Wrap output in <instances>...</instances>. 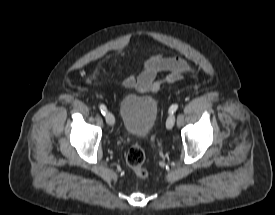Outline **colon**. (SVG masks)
Returning <instances> with one entry per match:
<instances>
[{"mask_svg": "<svg viewBox=\"0 0 275 215\" xmlns=\"http://www.w3.org/2000/svg\"><path fill=\"white\" fill-rule=\"evenodd\" d=\"M144 159L145 154L140 143H133L127 152L126 162L139 179H146L149 175L148 170L144 166Z\"/></svg>", "mask_w": 275, "mask_h": 215, "instance_id": "colon-1", "label": "colon"}]
</instances>
